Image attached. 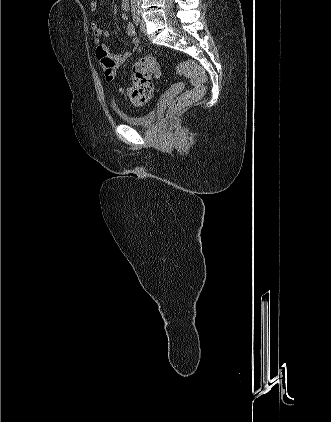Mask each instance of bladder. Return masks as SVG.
I'll list each match as a JSON object with an SVG mask.
<instances>
[{
    "label": "bladder",
    "mask_w": 331,
    "mask_h": 422,
    "mask_svg": "<svg viewBox=\"0 0 331 422\" xmlns=\"http://www.w3.org/2000/svg\"><path fill=\"white\" fill-rule=\"evenodd\" d=\"M119 118L128 125L150 128L157 119V110L153 109L143 115H129L123 112L118 113Z\"/></svg>",
    "instance_id": "31cf9c89"
}]
</instances>
